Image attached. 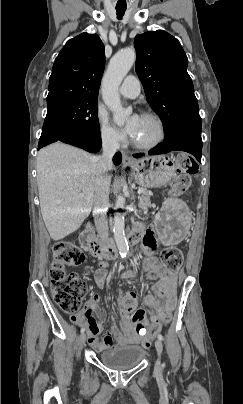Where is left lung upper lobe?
I'll use <instances>...</instances> for the list:
<instances>
[{
  "instance_id": "left-lung-upper-lobe-1",
  "label": "left lung upper lobe",
  "mask_w": 243,
  "mask_h": 404,
  "mask_svg": "<svg viewBox=\"0 0 243 404\" xmlns=\"http://www.w3.org/2000/svg\"><path fill=\"white\" fill-rule=\"evenodd\" d=\"M136 73L151 108L165 131L178 121L201 120L188 59L179 41L163 30L148 31L134 40Z\"/></svg>"
}]
</instances>
